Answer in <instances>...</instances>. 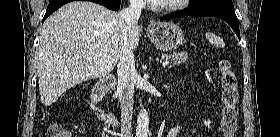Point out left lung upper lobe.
Wrapping results in <instances>:
<instances>
[{
  "label": "left lung upper lobe",
  "mask_w": 280,
  "mask_h": 137,
  "mask_svg": "<svg viewBox=\"0 0 280 137\" xmlns=\"http://www.w3.org/2000/svg\"><path fill=\"white\" fill-rule=\"evenodd\" d=\"M200 7H226L234 9L232 0H195L190 8Z\"/></svg>",
  "instance_id": "1"
}]
</instances>
